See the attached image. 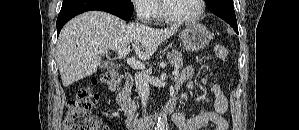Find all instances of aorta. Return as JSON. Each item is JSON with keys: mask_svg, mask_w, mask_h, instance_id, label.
Returning a JSON list of instances; mask_svg holds the SVG:
<instances>
[{"mask_svg": "<svg viewBox=\"0 0 299 130\" xmlns=\"http://www.w3.org/2000/svg\"><path fill=\"white\" fill-rule=\"evenodd\" d=\"M155 130H165V120L163 116L158 117Z\"/></svg>", "mask_w": 299, "mask_h": 130, "instance_id": "obj_1", "label": "aorta"}]
</instances>
